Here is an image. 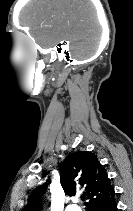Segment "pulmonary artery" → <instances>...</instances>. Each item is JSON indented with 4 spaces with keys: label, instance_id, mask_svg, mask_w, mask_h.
<instances>
[{
    "label": "pulmonary artery",
    "instance_id": "e3ab8cb5",
    "mask_svg": "<svg viewBox=\"0 0 133 211\" xmlns=\"http://www.w3.org/2000/svg\"><path fill=\"white\" fill-rule=\"evenodd\" d=\"M65 211H81V209L75 204H70L66 207Z\"/></svg>",
    "mask_w": 133,
    "mask_h": 211
}]
</instances>
